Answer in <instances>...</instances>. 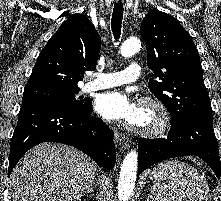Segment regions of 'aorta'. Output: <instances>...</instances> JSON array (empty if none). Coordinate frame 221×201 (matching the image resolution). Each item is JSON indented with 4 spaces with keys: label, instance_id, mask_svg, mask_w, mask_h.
<instances>
[{
    "label": "aorta",
    "instance_id": "1",
    "mask_svg": "<svg viewBox=\"0 0 221 201\" xmlns=\"http://www.w3.org/2000/svg\"><path fill=\"white\" fill-rule=\"evenodd\" d=\"M140 41L131 37L125 40L120 48L123 57H131L140 49ZM138 167V154L131 150L121 165L119 184H118V201H128L135 187L136 175Z\"/></svg>",
    "mask_w": 221,
    "mask_h": 201
}]
</instances>
